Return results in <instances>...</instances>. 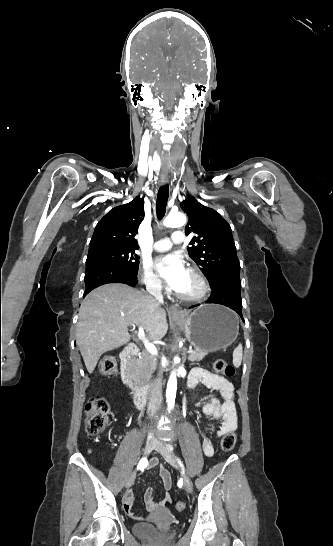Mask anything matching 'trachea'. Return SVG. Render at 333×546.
Segmentation results:
<instances>
[{
	"label": "trachea",
	"instance_id": "trachea-1",
	"mask_svg": "<svg viewBox=\"0 0 333 546\" xmlns=\"http://www.w3.org/2000/svg\"><path fill=\"white\" fill-rule=\"evenodd\" d=\"M169 187L168 185L161 186L157 195L156 213L157 218L161 220L166 212V205L168 201Z\"/></svg>",
	"mask_w": 333,
	"mask_h": 546
}]
</instances>
